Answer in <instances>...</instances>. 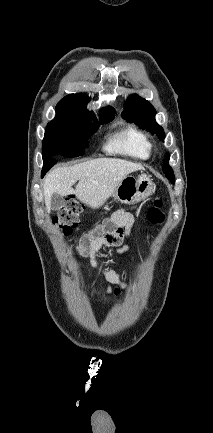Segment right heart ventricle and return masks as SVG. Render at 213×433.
I'll return each mask as SVG.
<instances>
[{"instance_id":"1","label":"right heart ventricle","mask_w":213,"mask_h":433,"mask_svg":"<svg viewBox=\"0 0 213 433\" xmlns=\"http://www.w3.org/2000/svg\"><path fill=\"white\" fill-rule=\"evenodd\" d=\"M107 149L111 152L147 159L151 153V143L143 132L134 127H128L110 140Z\"/></svg>"}]
</instances>
